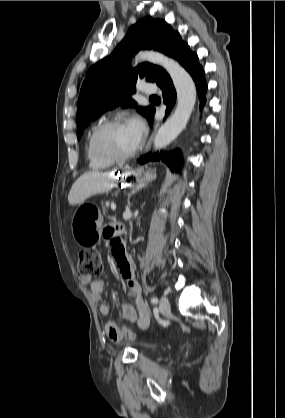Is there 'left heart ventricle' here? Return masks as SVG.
<instances>
[{
  "label": "left heart ventricle",
  "instance_id": "1",
  "mask_svg": "<svg viewBox=\"0 0 285 418\" xmlns=\"http://www.w3.org/2000/svg\"><path fill=\"white\" fill-rule=\"evenodd\" d=\"M101 143L117 155L128 153L136 145L126 125L107 130L102 135Z\"/></svg>",
  "mask_w": 285,
  "mask_h": 418
}]
</instances>
